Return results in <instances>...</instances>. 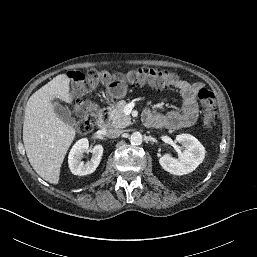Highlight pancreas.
<instances>
[{
    "label": "pancreas",
    "instance_id": "cf45deb5",
    "mask_svg": "<svg viewBox=\"0 0 257 257\" xmlns=\"http://www.w3.org/2000/svg\"><path fill=\"white\" fill-rule=\"evenodd\" d=\"M127 103L124 100L117 102L115 107L110 112L112 126L115 128H125L131 123V117L124 113V108Z\"/></svg>",
    "mask_w": 257,
    "mask_h": 257
}]
</instances>
